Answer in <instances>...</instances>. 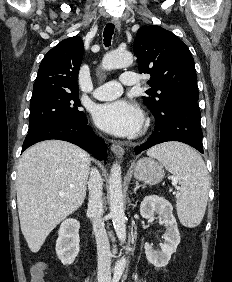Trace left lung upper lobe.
Listing matches in <instances>:
<instances>
[{
	"instance_id": "obj_1",
	"label": "left lung upper lobe",
	"mask_w": 232,
	"mask_h": 282,
	"mask_svg": "<svg viewBox=\"0 0 232 282\" xmlns=\"http://www.w3.org/2000/svg\"><path fill=\"white\" fill-rule=\"evenodd\" d=\"M133 51L139 72L151 75V89L143 97L153 112L179 98L197 101V75L189 48L173 33L160 26H143L137 32Z\"/></svg>"
}]
</instances>
